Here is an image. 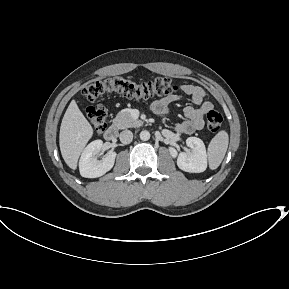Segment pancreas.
Instances as JSON below:
<instances>
[{"label": "pancreas", "mask_w": 289, "mask_h": 289, "mask_svg": "<svg viewBox=\"0 0 289 289\" xmlns=\"http://www.w3.org/2000/svg\"><path fill=\"white\" fill-rule=\"evenodd\" d=\"M141 124L142 122L132 118L128 111H120L113 119V125L118 129L137 127Z\"/></svg>", "instance_id": "obj_1"}]
</instances>
